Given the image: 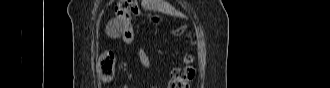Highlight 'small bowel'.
<instances>
[{
    "instance_id": "obj_1",
    "label": "small bowel",
    "mask_w": 330,
    "mask_h": 88,
    "mask_svg": "<svg viewBox=\"0 0 330 88\" xmlns=\"http://www.w3.org/2000/svg\"><path fill=\"white\" fill-rule=\"evenodd\" d=\"M137 59L139 63L146 69H150L152 67V62L148 54L141 48L138 47L136 51Z\"/></svg>"
}]
</instances>
